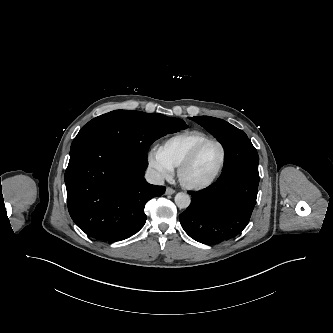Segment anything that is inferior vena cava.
<instances>
[{
    "label": "inferior vena cava",
    "mask_w": 333,
    "mask_h": 333,
    "mask_svg": "<svg viewBox=\"0 0 333 333\" xmlns=\"http://www.w3.org/2000/svg\"><path fill=\"white\" fill-rule=\"evenodd\" d=\"M145 179L150 184H154V185H163L164 184V179L162 178L160 173L151 168L147 169V171L145 173Z\"/></svg>",
    "instance_id": "obj_1"
}]
</instances>
